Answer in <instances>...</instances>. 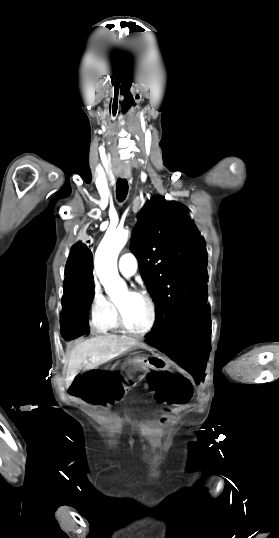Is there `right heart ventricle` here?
Segmentation results:
<instances>
[{"label":"right heart ventricle","mask_w":279,"mask_h":538,"mask_svg":"<svg viewBox=\"0 0 279 538\" xmlns=\"http://www.w3.org/2000/svg\"><path fill=\"white\" fill-rule=\"evenodd\" d=\"M107 227V225L99 227V230H104ZM128 233V228L126 227H120V228H110L107 232V234H116L120 236L124 241L126 239ZM107 304H108V312L107 316L103 322V324L100 327V330L106 331V330H119L121 329L118 321V315H117V299L114 297H108L107 298Z\"/></svg>","instance_id":"right-heart-ventricle-1"}]
</instances>
